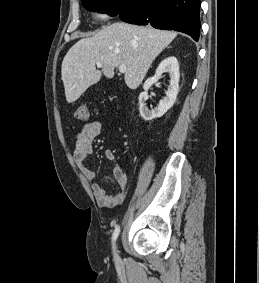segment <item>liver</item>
Wrapping results in <instances>:
<instances>
[{
	"mask_svg": "<svg viewBox=\"0 0 259 283\" xmlns=\"http://www.w3.org/2000/svg\"><path fill=\"white\" fill-rule=\"evenodd\" d=\"M176 32L151 26L113 23L92 37L75 43L65 55L61 75L68 103L76 101L102 77L114 76V69L125 65L126 85L136 89L155 58L173 41ZM102 63V71L95 68Z\"/></svg>",
	"mask_w": 259,
	"mask_h": 283,
	"instance_id": "1",
	"label": "liver"
}]
</instances>
